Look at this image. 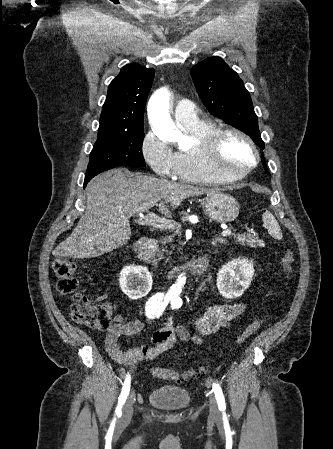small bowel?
<instances>
[{"instance_id": "1", "label": "small bowel", "mask_w": 333, "mask_h": 449, "mask_svg": "<svg viewBox=\"0 0 333 449\" xmlns=\"http://www.w3.org/2000/svg\"><path fill=\"white\" fill-rule=\"evenodd\" d=\"M244 311V303L209 306L194 319L193 330H189L169 317L164 327L153 332L150 344L130 346L126 349L120 347V338L141 333L144 325L138 318L118 315L115 324L105 332L103 343L107 353L115 362L134 367L140 362L153 361L160 354L169 351L176 345L178 339L200 343L204 336L227 327Z\"/></svg>"}]
</instances>
